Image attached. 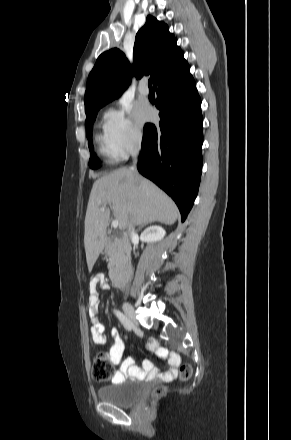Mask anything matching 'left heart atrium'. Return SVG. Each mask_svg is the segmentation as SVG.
Listing matches in <instances>:
<instances>
[{"label": "left heart atrium", "mask_w": 291, "mask_h": 440, "mask_svg": "<svg viewBox=\"0 0 291 440\" xmlns=\"http://www.w3.org/2000/svg\"><path fill=\"white\" fill-rule=\"evenodd\" d=\"M134 117L138 123H142L143 121L149 120L152 117V111L148 106L139 104L134 109Z\"/></svg>", "instance_id": "obj_1"}]
</instances>
